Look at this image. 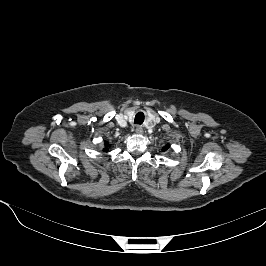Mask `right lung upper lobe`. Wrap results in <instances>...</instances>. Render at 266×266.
<instances>
[{
  "label": "right lung upper lobe",
  "mask_w": 266,
  "mask_h": 266,
  "mask_svg": "<svg viewBox=\"0 0 266 266\" xmlns=\"http://www.w3.org/2000/svg\"><path fill=\"white\" fill-rule=\"evenodd\" d=\"M105 146L107 147V146H109V143H105ZM105 151H108V149H105Z\"/></svg>",
  "instance_id": "right-lung-upper-lobe-1"
}]
</instances>
